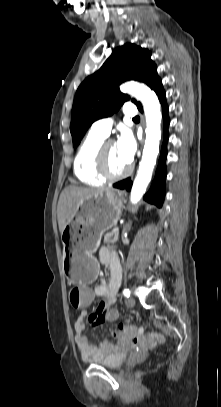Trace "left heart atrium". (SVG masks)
Segmentation results:
<instances>
[{"mask_svg": "<svg viewBox=\"0 0 221 407\" xmlns=\"http://www.w3.org/2000/svg\"><path fill=\"white\" fill-rule=\"evenodd\" d=\"M116 145L120 155L127 162H130L136 151V143L134 141L133 136L127 131L123 132L120 138L118 139Z\"/></svg>", "mask_w": 221, "mask_h": 407, "instance_id": "left-heart-atrium-1", "label": "left heart atrium"}]
</instances>
